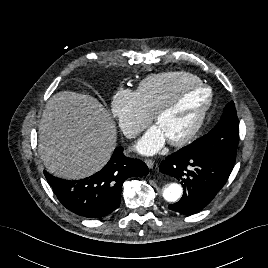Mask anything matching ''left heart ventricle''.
Here are the masks:
<instances>
[{"label":"left heart ventricle","instance_id":"left-heart-ventricle-1","mask_svg":"<svg viewBox=\"0 0 268 268\" xmlns=\"http://www.w3.org/2000/svg\"><path fill=\"white\" fill-rule=\"evenodd\" d=\"M207 92L190 89L180 96L178 105L157 123L166 139L181 137L194 123Z\"/></svg>","mask_w":268,"mask_h":268}]
</instances>
